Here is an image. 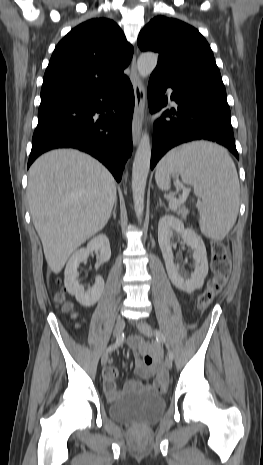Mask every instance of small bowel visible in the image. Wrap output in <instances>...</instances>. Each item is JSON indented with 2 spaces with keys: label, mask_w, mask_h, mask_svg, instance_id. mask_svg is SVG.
Segmentation results:
<instances>
[{
  "label": "small bowel",
  "mask_w": 263,
  "mask_h": 465,
  "mask_svg": "<svg viewBox=\"0 0 263 465\" xmlns=\"http://www.w3.org/2000/svg\"><path fill=\"white\" fill-rule=\"evenodd\" d=\"M199 326L200 323L195 321L192 322L189 329L196 330ZM128 343L135 358V371L138 376L148 380V383L143 385L139 381L130 380L126 383L125 388L145 387L156 392L163 391L167 386L168 376L160 364L158 350L149 346L138 336L131 337ZM118 373V368L111 364L103 371L104 388L110 398H116L120 394L116 383Z\"/></svg>",
  "instance_id": "obj_1"
}]
</instances>
